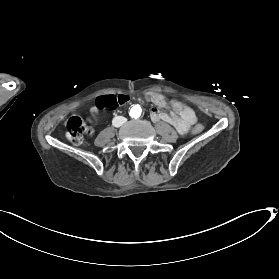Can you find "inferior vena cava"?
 <instances>
[{
  "mask_svg": "<svg viewBox=\"0 0 279 279\" xmlns=\"http://www.w3.org/2000/svg\"><path fill=\"white\" fill-rule=\"evenodd\" d=\"M127 121L126 118L122 117V116H117L113 119L112 123L115 127H120L123 123H125Z\"/></svg>",
  "mask_w": 279,
  "mask_h": 279,
  "instance_id": "1",
  "label": "inferior vena cava"
}]
</instances>
